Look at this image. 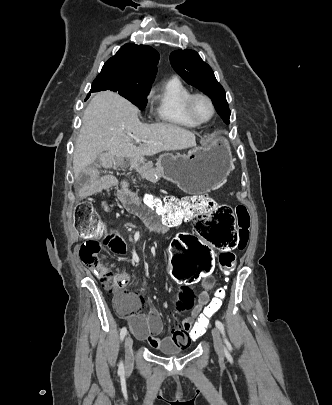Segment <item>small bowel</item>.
<instances>
[{"instance_id":"1","label":"small bowel","mask_w":332,"mask_h":405,"mask_svg":"<svg viewBox=\"0 0 332 405\" xmlns=\"http://www.w3.org/2000/svg\"><path fill=\"white\" fill-rule=\"evenodd\" d=\"M133 165L137 170L142 172L153 167V163L147 161L143 156L135 157L133 159ZM94 167L96 168L97 166L95 165ZM95 168H84L83 172H79V176L75 177V186H97L98 181L102 180V173L96 172ZM114 173L116 176L120 177L124 172L122 169L118 168ZM128 176L132 179L135 175L131 172ZM104 185L107 188H113L116 185V178L110 174L106 175L104 177ZM118 200L123 207L117 206L115 208L117 215H122L127 211L139 217L148 228L156 233L162 234L168 231V228L162 225L158 219H154V212L150 208L145 207V204L141 202V198L131 190L126 182H124L118 190ZM105 207V213L107 215L114 213L112 206L105 205ZM171 223L180 225L184 222L176 221ZM170 254L171 256L173 254L172 243ZM132 259L138 264L146 265L145 260L140 257L136 251L132 252ZM99 274L100 277L104 279V272H100ZM117 278L121 285L130 282V275L127 272L119 274ZM198 283L201 286V291L197 297H194L191 287H182L178 302H175L174 308L175 311H190V316L184 319L182 326L175 328L171 336H167L163 339L158 337L163 330V322L160 313L157 309H151L147 314L139 313L143 306V299L141 297L131 293L134 296L132 303L119 308L115 302V307L119 314L127 316L130 329L137 338L147 341L152 348L163 351L164 353H179L180 348H185L190 344L189 333L191 329H194L198 311H202L203 307L210 306L209 292L214 287L213 276L208 275L207 281Z\"/></svg>"}]
</instances>
